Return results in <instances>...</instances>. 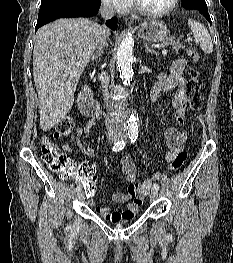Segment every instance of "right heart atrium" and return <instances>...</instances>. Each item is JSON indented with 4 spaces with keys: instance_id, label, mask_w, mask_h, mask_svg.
<instances>
[{
    "instance_id": "obj_1",
    "label": "right heart atrium",
    "mask_w": 233,
    "mask_h": 263,
    "mask_svg": "<svg viewBox=\"0 0 233 263\" xmlns=\"http://www.w3.org/2000/svg\"><path fill=\"white\" fill-rule=\"evenodd\" d=\"M102 2L109 8L120 13L130 7V0H102Z\"/></svg>"
}]
</instances>
